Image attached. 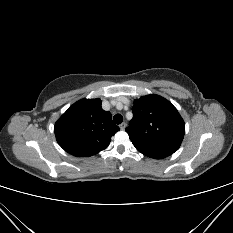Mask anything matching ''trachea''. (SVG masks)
<instances>
[{
    "instance_id": "1",
    "label": "trachea",
    "mask_w": 233,
    "mask_h": 233,
    "mask_svg": "<svg viewBox=\"0 0 233 233\" xmlns=\"http://www.w3.org/2000/svg\"><path fill=\"white\" fill-rule=\"evenodd\" d=\"M113 121L116 123V124H121L122 121H123V116L121 114H116L114 117H113Z\"/></svg>"
}]
</instances>
